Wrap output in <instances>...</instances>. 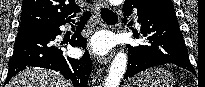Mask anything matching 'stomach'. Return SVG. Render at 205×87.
I'll use <instances>...</instances> for the list:
<instances>
[{
    "label": "stomach",
    "mask_w": 205,
    "mask_h": 87,
    "mask_svg": "<svg viewBox=\"0 0 205 87\" xmlns=\"http://www.w3.org/2000/svg\"><path fill=\"white\" fill-rule=\"evenodd\" d=\"M174 84L170 72L163 68H150L135 76L127 87H173Z\"/></svg>",
    "instance_id": "stomach-1"
}]
</instances>
